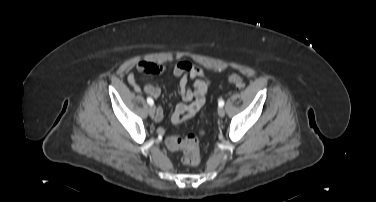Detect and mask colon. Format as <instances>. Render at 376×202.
<instances>
[{
  "instance_id": "5ec220e1",
  "label": "colon",
  "mask_w": 376,
  "mask_h": 202,
  "mask_svg": "<svg viewBox=\"0 0 376 202\" xmlns=\"http://www.w3.org/2000/svg\"><path fill=\"white\" fill-rule=\"evenodd\" d=\"M227 79L237 88L244 86V78L239 74H230ZM166 145L172 151H181L182 161L185 165L197 166L201 161L199 139L195 134L184 137L171 135L167 137Z\"/></svg>"
}]
</instances>
